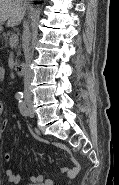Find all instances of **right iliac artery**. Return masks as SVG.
<instances>
[{"mask_svg": "<svg viewBox=\"0 0 119 185\" xmlns=\"http://www.w3.org/2000/svg\"><path fill=\"white\" fill-rule=\"evenodd\" d=\"M17 100H22L23 99V93L19 92L15 95Z\"/></svg>", "mask_w": 119, "mask_h": 185, "instance_id": "obj_1", "label": "right iliac artery"}]
</instances>
